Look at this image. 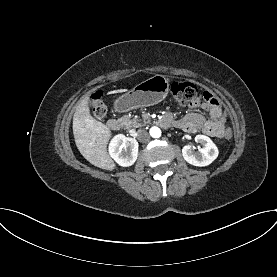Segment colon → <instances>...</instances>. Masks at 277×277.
I'll return each instance as SVG.
<instances>
[{"instance_id": "colon-1", "label": "colon", "mask_w": 277, "mask_h": 277, "mask_svg": "<svg viewBox=\"0 0 277 277\" xmlns=\"http://www.w3.org/2000/svg\"><path fill=\"white\" fill-rule=\"evenodd\" d=\"M171 94L173 99L179 104H187L198 100L199 95L197 88L194 84L175 80L171 83ZM91 110L96 119L102 120L107 115V106L102 101L101 95L96 93L91 99ZM234 135L232 128H226L223 131V137L226 141H231Z\"/></svg>"}]
</instances>
